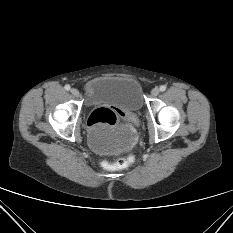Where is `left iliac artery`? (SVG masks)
Here are the masks:
<instances>
[{"mask_svg": "<svg viewBox=\"0 0 233 233\" xmlns=\"http://www.w3.org/2000/svg\"><path fill=\"white\" fill-rule=\"evenodd\" d=\"M165 90H166V86H165V85L160 86V91H161V92H163V91H165Z\"/></svg>", "mask_w": 233, "mask_h": 233, "instance_id": "1", "label": "left iliac artery"}]
</instances>
